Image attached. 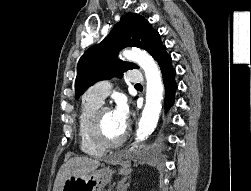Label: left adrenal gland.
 Listing matches in <instances>:
<instances>
[{
	"label": "left adrenal gland",
	"mask_w": 251,
	"mask_h": 191,
	"mask_svg": "<svg viewBox=\"0 0 251 191\" xmlns=\"http://www.w3.org/2000/svg\"><path fill=\"white\" fill-rule=\"evenodd\" d=\"M125 181V177L124 179H121V181H118L117 191H127V187L130 185V183H125Z\"/></svg>",
	"instance_id": "obj_1"
}]
</instances>
